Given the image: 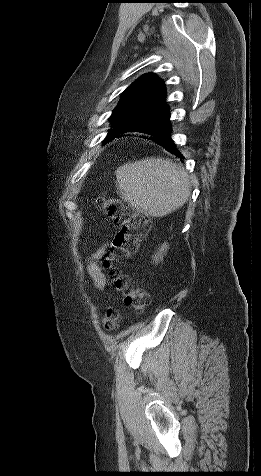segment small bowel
<instances>
[{"instance_id": "c3829d8e", "label": "small bowel", "mask_w": 261, "mask_h": 476, "mask_svg": "<svg viewBox=\"0 0 261 476\" xmlns=\"http://www.w3.org/2000/svg\"><path fill=\"white\" fill-rule=\"evenodd\" d=\"M104 252V247L98 249L93 255H92V260L88 266V273L89 276L94 284V286L102 290L104 289L107 284L108 280L105 275V273L102 271V269L98 266L97 260L100 259V257L103 255Z\"/></svg>"}]
</instances>
